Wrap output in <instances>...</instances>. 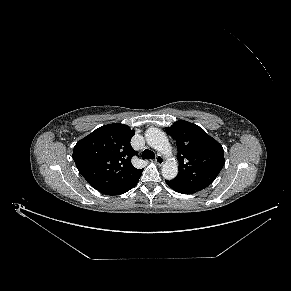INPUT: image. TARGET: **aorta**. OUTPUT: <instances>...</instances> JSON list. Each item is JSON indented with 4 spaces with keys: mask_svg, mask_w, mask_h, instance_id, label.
Returning a JSON list of instances; mask_svg holds the SVG:
<instances>
[{
    "mask_svg": "<svg viewBox=\"0 0 291 291\" xmlns=\"http://www.w3.org/2000/svg\"><path fill=\"white\" fill-rule=\"evenodd\" d=\"M145 139L149 146L166 157L162 166V176L167 180L174 179L178 174V165L172 157V147L165 133L158 128L150 127L145 132Z\"/></svg>",
    "mask_w": 291,
    "mask_h": 291,
    "instance_id": "762f6f07",
    "label": "aorta"
}]
</instances>
